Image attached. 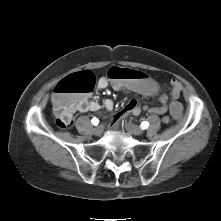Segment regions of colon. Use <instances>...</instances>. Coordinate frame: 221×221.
<instances>
[{"mask_svg":"<svg viewBox=\"0 0 221 221\" xmlns=\"http://www.w3.org/2000/svg\"><path fill=\"white\" fill-rule=\"evenodd\" d=\"M107 79L113 83H120L134 90L136 93L149 97L157 96L160 83L146 71H136L124 66L113 65L107 69ZM96 83L95 76L90 71L72 74L62 79L54 88L52 101L56 124L60 128H67L74 120L77 112L76 102L81 95L92 91ZM170 118L174 122H181L185 118V106L178 100L169 101Z\"/></svg>","mask_w":221,"mask_h":221,"instance_id":"colon-1","label":"colon"}]
</instances>
